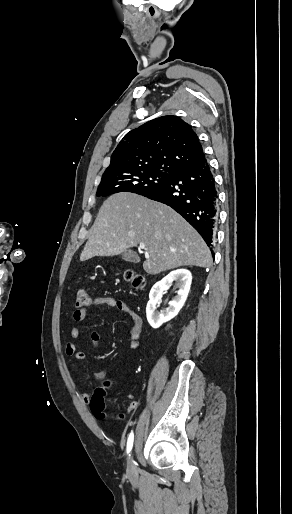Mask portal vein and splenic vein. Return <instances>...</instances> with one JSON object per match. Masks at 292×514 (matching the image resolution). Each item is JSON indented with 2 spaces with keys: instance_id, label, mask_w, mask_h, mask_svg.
<instances>
[{
  "instance_id": "1",
  "label": "portal vein and splenic vein",
  "mask_w": 292,
  "mask_h": 514,
  "mask_svg": "<svg viewBox=\"0 0 292 514\" xmlns=\"http://www.w3.org/2000/svg\"><path fill=\"white\" fill-rule=\"evenodd\" d=\"M139 248L140 250H145L144 244H140ZM171 252H176V250H171ZM145 254H148V252H145Z\"/></svg>"
}]
</instances>
